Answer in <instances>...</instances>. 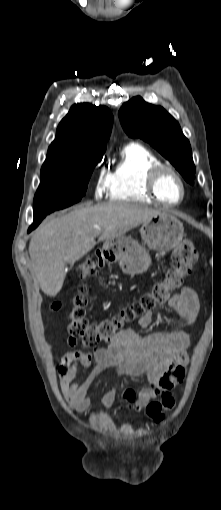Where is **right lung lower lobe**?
I'll return each instance as SVG.
<instances>
[{
  "mask_svg": "<svg viewBox=\"0 0 221 510\" xmlns=\"http://www.w3.org/2000/svg\"><path fill=\"white\" fill-rule=\"evenodd\" d=\"M47 214H43V215H36L34 214V222L33 224L29 227L28 229V232L32 231L33 229H35L39 223L42 221V219L46 216Z\"/></svg>",
  "mask_w": 221,
  "mask_h": 510,
  "instance_id": "obj_1",
  "label": "right lung lower lobe"
}]
</instances>
